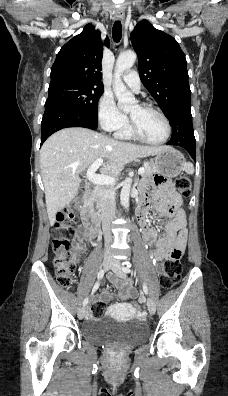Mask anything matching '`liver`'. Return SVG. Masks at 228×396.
I'll list each match as a JSON object with an SVG mask.
<instances>
[{"label": "liver", "mask_w": 228, "mask_h": 396, "mask_svg": "<svg viewBox=\"0 0 228 396\" xmlns=\"http://www.w3.org/2000/svg\"><path fill=\"white\" fill-rule=\"evenodd\" d=\"M167 146H139L112 139L87 128L60 130L50 136L40 151V168L50 225L56 214L78 193L79 175L97 159H104L102 175L118 176L127 163L156 154Z\"/></svg>", "instance_id": "obj_1"}]
</instances>
